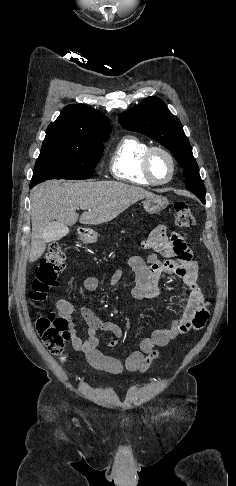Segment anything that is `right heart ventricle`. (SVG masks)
<instances>
[{
  "mask_svg": "<svg viewBox=\"0 0 236 486\" xmlns=\"http://www.w3.org/2000/svg\"><path fill=\"white\" fill-rule=\"evenodd\" d=\"M149 147L146 141L137 136H124L110 158V170L114 177L134 185H151L142 173V157Z\"/></svg>",
  "mask_w": 236,
  "mask_h": 486,
  "instance_id": "right-heart-ventricle-1",
  "label": "right heart ventricle"
}]
</instances>
